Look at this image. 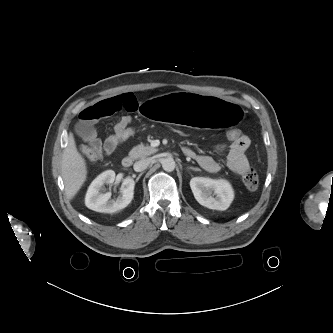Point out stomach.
Returning a JSON list of instances; mask_svg holds the SVG:
<instances>
[{"mask_svg":"<svg viewBox=\"0 0 333 333\" xmlns=\"http://www.w3.org/2000/svg\"><path fill=\"white\" fill-rule=\"evenodd\" d=\"M143 117L161 125L193 127L220 132L243 125L244 106L213 95L190 96L186 93L150 97L141 106Z\"/></svg>","mask_w":333,"mask_h":333,"instance_id":"stomach-1","label":"stomach"}]
</instances>
